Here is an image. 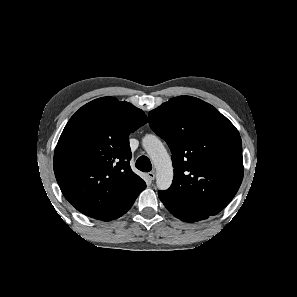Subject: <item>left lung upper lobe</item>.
I'll use <instances>...</instances> for the list:
<instances>
[{
  "label": "left lung upper lobe",
  "mask_w": 297,
  "mask_h": 297,
  "mask_svg": "<svg viewBox=\"0 0 297 297\" xmlns=\"http://www.w3.org/2000/svg\"><path fill=\"white\" fill-rule=\"evenodd\" d=\"M148 117L151 129L172 153L173 182L160 192L175 207L200 220L218 214L243 179L238 130L212 105L191 96L172 98Z\"/></svg>",
  "instance_id": "left-lung-upper-lobe-1"
}]
</instances>
